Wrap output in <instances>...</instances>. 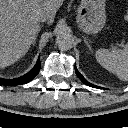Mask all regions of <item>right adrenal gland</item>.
I'll return each instance as SVG.
<instances>
[{
  "label": "right adrenal gland",
  "instance_id": "1",
  "mask_svg": "<svg viewBox=\"0 0 128 128\" xmlns=\"http://www.w3.org/2000/svg\"><path fill=\"white\" fill-rule=\"evenodd\" d=\"M40 30H41V27L39 28V30H38V32H37V34H36V36H35V38L33 40V45H35V43H36V39L38 37V34H39Z\"/></svg>",
  "mask_w": 128,
  "mask_h": 128
}]
</instances>
